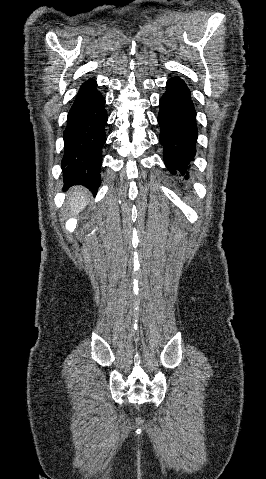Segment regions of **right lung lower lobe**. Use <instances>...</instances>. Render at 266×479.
Returning <instances> with one entry per match:
<instances>
[{
    "instance_id": "obj_1",
    "label": "right lung lower lobe",
    "mask_w": 266,
    "mask_h": 479,
    "mask_svg": "<svg viewBox=\"0 0 266 479\" xmlns=\"http://www.w3.org/2000/svg\"><path fill=\"white\" fill-rule=\"evenodd\" d=\"M97 82H84L68 113L64 131V156L61 162L64 186L81 184L96 193L100 186L102 147L106 142L105 98Z\"/></svg>"
}]
</instances>
